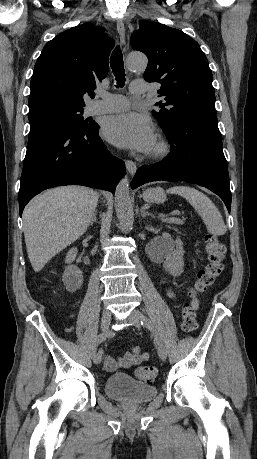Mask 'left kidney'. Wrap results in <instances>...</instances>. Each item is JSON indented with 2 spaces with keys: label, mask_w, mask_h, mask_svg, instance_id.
I'll list each match as a JSON object with an SVG mask.
<instances>
[{
  "label": "left kidney",
  "mask_w": 257,
  "mask_h": 459,
  "mask_svg": "<svg viewBox=\"0 0 257 459\" xmlns=\"http://www.w3.org/2000/svg\"><path fill=\"white\" fill-rule=\"evenodd\" d=\"M183 255V242L179 238H177L174 243H168L164 250L165 261L163 266L165 270L174 277L180 276L183 272Z\"/></svg>",
  "instance_id": "1"
}]
</instances>
